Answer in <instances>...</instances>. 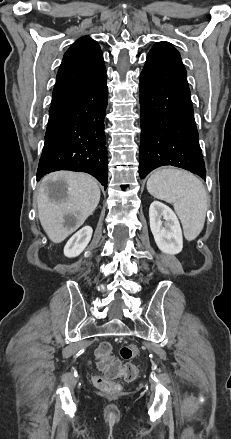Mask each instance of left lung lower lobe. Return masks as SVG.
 Listing matches in <instances>:
<instances>
[{"mask_svg": "<svg viewBox=\"0 0 231 439\" xmlns=\"http://www.w3.org/2000/svg\"><path fill=\"white\" fill-rule=\"evenodd\" d=\"M181 60L153 46L140 75V178L172 165L206 178L190 89Z\"/></svg>", "mask_w": 231, "mask_h": 439, "instance_id": "1", "label": "left lung lower lobe"}]
</instances>
